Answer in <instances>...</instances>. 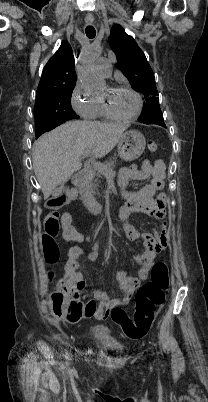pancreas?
Here are the masks:
<instances>
[{"label": "pancreas", "mask_w": 208, "mask_h": 402, "mask_svg": "<svg viewBox=\"0 0 208 402\" xmlns=\"http://www.w3.org/2000/svg\"><path fill=\"white\" fill-rule=\"evenodd\" d=\"M114 166L115 162H107V164H101V168H99V170H85L89 180H87L83 188H80L79 190V194H81L82 198H87L89 194L99 196L98 192H95L96 188H98V178H101L103 170H113Z\"/></svg>", "instance_id": "cf45deb5"}]
</instances>
